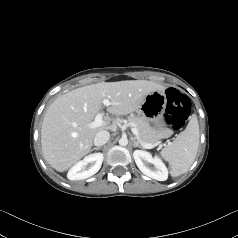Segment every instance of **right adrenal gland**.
<instances>
[{
    "mask_svg": "<svg viewBox=\"0 0 238 238\" xmlns=\"http://www.w3.org/2000/svg\"><path fill=\"white\" fill-rule=\"evenodd\" d=\"M101 149V147H94L91 151H93V150H100Z\"/></svg>",
    "mask_w": 238,
    "mask_h": 238,
    "instance_id": "2a0ac1e0",
    "label": "right adrenal gland"
}]
</instances>
